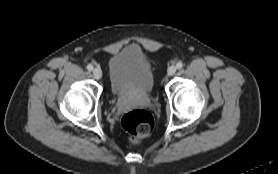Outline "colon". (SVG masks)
Segmentation results:
<instances>
[{
	"label": "colon",
	"mask_w": 278,
	"mask_h": 174,
	"mask_svg": "<svg viewBox=\"0 0 278 174\" xmlns=\"http://www.w3.org/2000/svg\"><path fill=\"white\" fill-rule=\"evenodd\" d=\"M121 125L134 140H140L150 135L154 127V119L146 109L137 108L122 117Z\"/></svg>",
	"instance_id": "5ec220e1"
}]
</instances>
